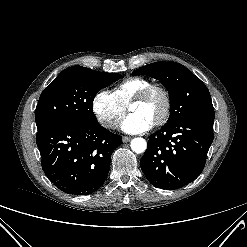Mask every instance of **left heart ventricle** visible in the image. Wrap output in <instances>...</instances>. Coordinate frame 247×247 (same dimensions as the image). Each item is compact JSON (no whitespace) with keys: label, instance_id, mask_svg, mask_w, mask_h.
I'll list each match as a JSON object with an SVG mask.
<instances>
[{"label":"left heart ventricle","instance_id":"left-heart-ventricle-1","mask_svg":"<svg viewBox=\"0 0 247 247\" xmlns=\"http://www.w3.org/2000/svg\"><path fill=\"white\" fill-rule=\"evenodd\" d=\"M129 109L132 112L140 113L154 123L163 112L164 100L159 93H153L143 102L132 103Z\"/></svg>","mask_w":247,"mask_h":247}]
</instances>
